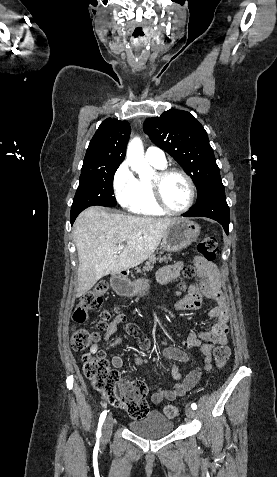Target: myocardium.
<instances>
[{"instance_id": "f54148a6", "label": "myocardium", "mask_w": 277, "mask_h": 477, "mask_svg": "<svg viewBox=\"0 0 277 477\" xmlns=\"http://www.w3.org/2000/svg\"><path fill=\"white\" fill-rule=\"evenodd\" d=\"M181 175L187 181L189 187V198L184 207L178 210L171 209L165 202L162 194V184L164 180L171 175ZM151 188L156 205L166 214L170 215H181L187 212L193 205L196 197V187L191 176L182 169L179 168H168L161 169L155 173L151 179Z\"/></svg>"}]
</instances>
